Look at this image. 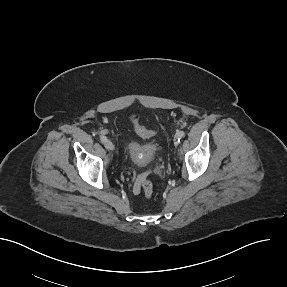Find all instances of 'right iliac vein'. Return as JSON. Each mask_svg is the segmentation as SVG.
I'll use <instances>...</instances> for the list:
<instances>
[{
    "label": "right iliac vein",
    "mask_w": 287,
    "mask_h": 287,
    "mask_svg": "<svg viewBox=\"0 0 287 287\" xmlns=\"http://www.w3.org/2000/svg\"><path fill=\"white\" fill-rule=\"evenodd\" d=\"M105 148L109 151H113L114 150V145L110 140H107L105 143Z\"/></svg>",
    "instance_id": "obj_1"
}]
</instances>
